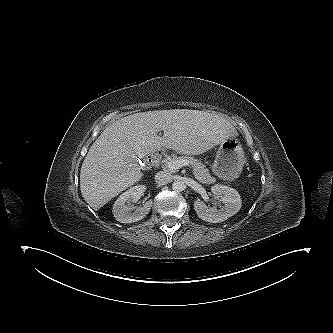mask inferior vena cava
I'll use <instances>...</instances> for the list:
<instances>
[{
	"mask_svg": "<svg viewBox=\"0 0 333 333\" xmlns=\"http://www.w3.org/2000/svg\"><path fill=\"white\" fill-rule=\"evenodd\" d=\"M172 179V175L170 172L160 171L155 175V181L158 184H166Z\"/></svg>",
	"mask_w": 333,
	"mask_h": 333,
	"instance_id": "602c4592",
	"label": "inferior vena cava"
}]
</instances>
